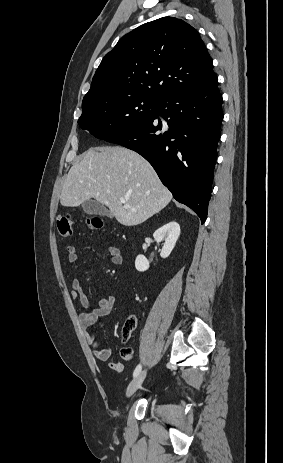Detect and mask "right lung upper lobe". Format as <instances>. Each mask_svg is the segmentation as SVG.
I'll return each mask as SVG.
<instances>
[{
  "instance_id": "1",
  "label": "right lung upper lobe",
  "mask_w": 283,
  "mask_h": 463,
  "mask_svg": "<svg viewBox=\"0 0 283 463\" xmlns=\"http://www.w3.org/2000/svg\"><path fill=\"white\" fill-rule=\"evenodd\" d=\"M196 29L163 17L124 35L102 59L82 105L111 95H140L160 101L217 79Z\"/></svg>"
}]
</instances>
